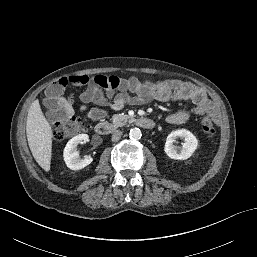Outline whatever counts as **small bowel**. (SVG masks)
<instances>
[{
    "label": "small bowel",
    "mask_w": 257,
    "mask_h": 257,
    "mask_svg": "<svg viewBox=\"0 0 257 257\" xmlns=\"http://www.w3.org/2000/svg\"><path fill=\"white\" fill-rule=\"evenodd\" d=\"M87 84L86 90L80 96V110L86 112L94 121H102L107 117L106 108L119 110L126 104H143L151 100H188L193 104L191 109H182L166 117V122L170 124H183L192 114L201 115L211 106L203 89L191 82L180 80L152 82L137 77L123 79L118 76L96 75L89 78ZM64 102L61 94L52 95L48 88L44 104L49 117L55 118L60 104Z\"/></svg>",
    "instance_id": "small-bowel-1"
}]
</instances>
